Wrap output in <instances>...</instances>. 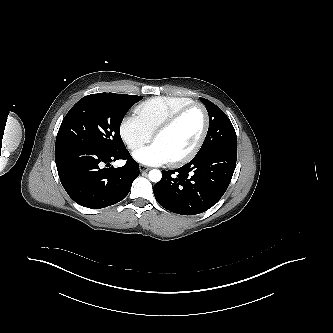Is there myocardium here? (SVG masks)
<instances>
[{
	"label": "myocardium",
	"mask_w": 333,
	"mask_h": 333,
	"mask_svg": "<svg viewBox=\"0 0 333 333\" xmlns=\"http://www.w3.org/2000/svg\"><path fill=\"white\" fill-rule=\"evenodd\" d=\"M194 108H199L203 113L204 123H203V128H202L201 134H200L198 140L196 141V143L194 144V146L188 152L169 161V163L171 165L177 166V165H181V164H184V163L190 161L192 158H194L196 156V154L201 149V147L207 137L209 125H210L209 113H208L207 108L202 103H199V102H193L189 105H186V106L180 108L179 110H177L171 116H169L163 123H161L156 128V130L153 133V139L155 140L160 134H162L163 132L167 131L172 126H174L187 112H189L190 110H192Z\"/></svg>",
	"instance_id": "myocardium-1"
}]
</instances>
